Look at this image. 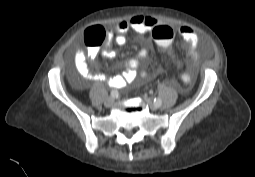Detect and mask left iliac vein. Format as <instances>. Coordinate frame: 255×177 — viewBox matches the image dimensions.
Returning <instances> with one entry per match:
<instances>
[{"label":"left iliac vein","instance_id":"obj_1","mask_svg":"<svg viewBox=\"0 0 255 177\" xmlns=\"http://www.w3.org/2000/svg\"><path fill=\"white\" fill-rule=\"evenodd\" d=\"M145 101L152 110H156L158 108L151 99L145 97Z\"/></svg>","mask_w":255,"mask_h":177}]
</instances>
